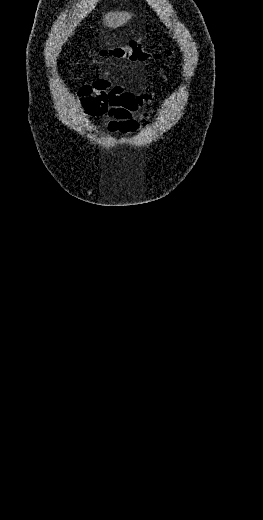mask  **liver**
I'll return each mask as SVG.
<instances>
[{"mask_svg": "<svg viewBox=\"0 0 263 520\" xmlns=\"http://www.w3.org/2000/svg\"><path fill=\"white\" fill-rule=\"evenodd\" d=\"M131 17L132 14L128 12H109L104 16L103 22L109 28H117L124 25Z\"/></svg>", "mask_w": 263, "mask_h": 520, "instance_id": "6515ba94", "label": "liver"}]
</instances>
